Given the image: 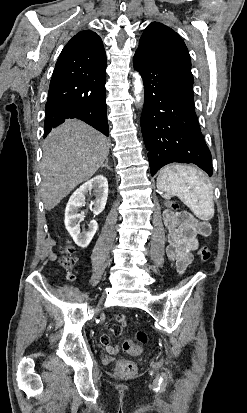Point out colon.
Here are the masks:
<instances>
[{
    "instance_id": "5ec220e1",
    "label": "colon",
    "mask_w": 247,
    "mask_h": 413,
    "mask_svg": "<svg viewBox=\"0 0 247 413\" xmlns=\"http://www.w3.org/2000/svg\"><path fill=\"white\" fill-rule=\"evenodd\" d=\"M167 205L171 206V210H177L179 208V205L174 201V200H169L167 201ZM199 257L203 261H208L211 258V250L206 247L202 246L199 248L198 251ZM77 256L75 253V250L68 245H65L62 249V257L60 260V265L63 269H69L74 264L76 263ZM74 274L69 273L67 274V279L72 280L74 278ZM124 339V337H122ZM140 341L141 343L143 341H148V334L144 330H138L134 336H127L125 338V341L123 342L124 349H123V354L125 356H130L133 353L137 354L140 351V346L136 345V342ZM131 345H134V347H131ZM131 347V348H130ZM117 372L121 375L125 376H132L136 373L137 367L136 364L132 361L122 359L120 360L117 365H116Z\"/></svg>"
}]
</instances>
